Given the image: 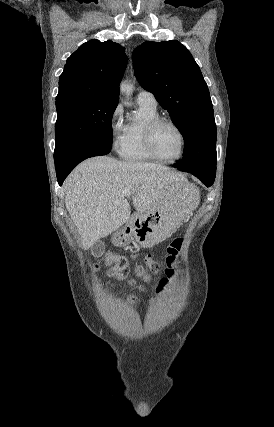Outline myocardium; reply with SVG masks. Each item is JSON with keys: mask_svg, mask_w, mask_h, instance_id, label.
I'll list each match as a JSON object with an SVG mask.
<instances>
[{"mask_svg": "<svg viewBox=\"0 0 274 427\" xmlns=\"http://www.w3.org/2000/svg\"><path fill=\"white\" fill-rule=\"evenodd\" d=\"M162 124H167L170 125L171 127H173L179 134L180 139H181V151H180V155L178 156V158L174 159V160H167L165 158H163L156 150L155 145H154V135H155V131L156 129L162 125ZM144 142H145V147L146 150L148 151V153L157 161H160L162 163H167V164H175L180 162L186 153V137L184 132L182 131V129L171 119L168 118H164V117H157L153 120H151L146 128H145V132H144Z\"/></svg>", "mask_w": 274, "mask_h": 427, "instance_id": "obj_1", "label": "myocardium"}]
</instances>
